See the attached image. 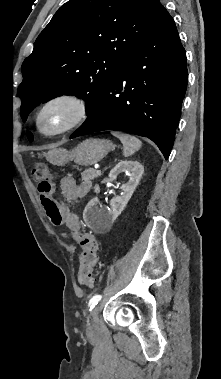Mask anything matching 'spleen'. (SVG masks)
<instances>
[{"mask_svg":"<svg viewBox=\"0 0 221 379\" xmlns=\"http://www.w3.org/2000/svg\"><path fill=\"white\" fill-rule=\"evenodd\" d=\"M112 134L123 144V155L125 157L134 154L142 145V142L135 136L120 132H113Z\"/></svg>","mask_w":221,"mask_h":379,"instance_id":"3e777b00","label":"spleen"}]
</instances>
